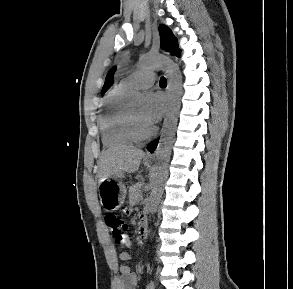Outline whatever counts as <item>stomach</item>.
<instances>
[{
	"label": "stomach",
	"mask_w": 293,
	"mask_h": 289,
	"mask_svg": "<svg viewBox=\"0 0 293 289\" xmlns=\"http://www.w3.org/2000/svg\"><path fill=\"white\" fill-rule=\"evenodd\" d=\"M123 173H117L98 184L101 205L110 211L118 210L125 201L127 189L121 179Z\"/></svg>",
	"instance_id": "obj_1"
}]
</instances>
